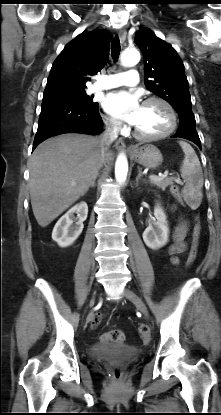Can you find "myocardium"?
<instances>
[{
	"label": "myocardium",
	"mask_w": 221,
	"mask_h": 415,
	"mask_svg": "<svg viewBox=\"0 0 221 415\" xmlns=\"http://www.w3.org/2000/svg\"><path fill=\"white\" fill-rule=\"evenodd\" d=\"M153 102H158V103H161L163 106H165V108L167 109V111L169 113V116H170V125L164 132L159 133V134H153V135L143 134V133L139 132L134 127L133 134L138 139L147 140V141H154V140L164 139V138L170 136L177 128L178 117H177L176 110L172 106V104L169 101H167L166 99L161 98V97H157V96L147 98L143 102V104H148V103H153Z\"/></svg>",
	"instance_id": "myocardium-1"
}]
</instances>
